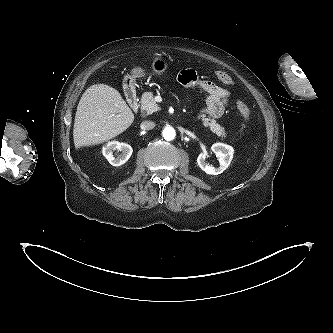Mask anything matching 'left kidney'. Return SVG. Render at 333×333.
Here are the masks:
<instances>
[{
  "label": "left kidney",
  "instance_id": "5707ae66",
  "mask_svg": "<svg viewBox=\"0 0 333 333\" xmlns=\"http://www.w3.org/2000/svg\"><path fill=\"white\" fill-rule=\"evenodd\" d=\"M211 151L216 155L219 160L220 166L215 168L206 163L208 152L201 153L197 158L199 167L209 175L221 174L231 163L233 158L234 149L230 145L223 143H215L211 147Z\"/></svg>",
  "mask_w": 333,
  "mask_h": 333
}]
</instances>
